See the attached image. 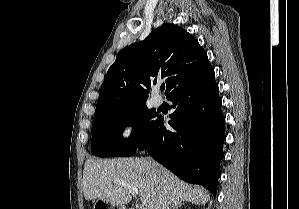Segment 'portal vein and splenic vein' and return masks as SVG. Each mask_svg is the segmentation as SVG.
Listing matches in <instances>:
<instances>
[{"instance_id":"18ae733b","label":"portal vein and splenic vein","mask_w":299,"mask_h":209,"mask_svg":"<svg viewBox=\"0 0 299 209\" xmlns=\"http://www.w3.org/2000/svg\"><path fill=\"white\" fill-rule=\"evenodd\" d=\"M113 182L116 183V184L125 186L129 190V192L132 193V194H138V189L134 186L128 185L125 182L119 181V180H114ZM143 209H147V208L145 207Z\"/></svg>"}]
</instances>
